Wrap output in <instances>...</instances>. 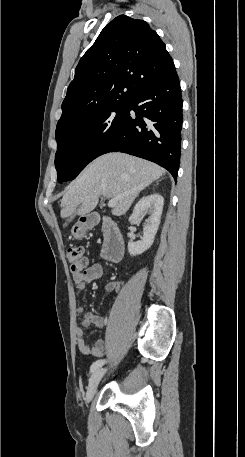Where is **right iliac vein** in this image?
Returning a JSON list of instances; mask_svg holds the SVG:
<instances>
[{
	"label": "right iliac vein",
	"instance_id": "obj_1",
	"mask_svg": "<svg viewBox=\"0 0 245 457\" xmlns=\"http://www.w3.org/2000/svg\"><path fill=\"white\" fill-rule=\"evenodd\" d=\"M104 373H105V369H103V368L97 369L92 373V375L89 379V384H88L87 392L85 395L86 403H89L91 401Z\"/></svg>",
	"mask_w": 245,
	"mask_h": 457
}]
</instances>
